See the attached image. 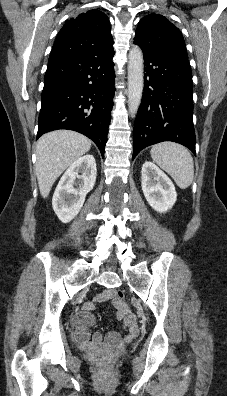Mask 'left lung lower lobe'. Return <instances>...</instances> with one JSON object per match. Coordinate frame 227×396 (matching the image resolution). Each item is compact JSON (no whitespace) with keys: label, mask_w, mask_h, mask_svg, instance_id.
<instances>
[{"label":"left lung lower lobe","mask_w":227,"mask_h":396,"mask_svg":"<svg viewBox=\"0 0 227 396\" xmlns=\"http://www.w3.org/2000/svg\"><path fill=\"white\" fill-rule=\"evenodd\" d=\"M141 49L144 93L134 125L133 159L145 147L162 141L180 143L195 154L193 81L188 58L161 49Z\"/></svg>","instance_id":"obj_1"}]
</instances>
